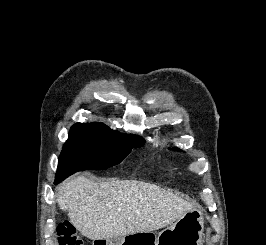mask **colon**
<instances>
[{"mask_svg":"<svg viewBox=\"0 0 266 245\" xmlns=\"http://www.w3.org/2000/svg\"><path fill=\"white\" fill-rule=\"evenodd\" d=\"M58 239L59 245H84L83 237L68 220H64L59 225Z\"/></svg>","mask_w":266,"mask_h":245,"instance_id":"obj_1","label":"colon"}]
</instances>
